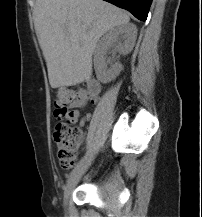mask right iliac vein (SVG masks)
Returning <instances> with one entry per match:
<instances>
[{"label": "right iliac vein", "instance_id": "right-iliac-vein-1", "mask_svg": "<svg viewBox=\"0 0 202 217\" xmlns=\"http://www.w3.org/2000/svg\"><path fill=\"white\" fill-rule=\"evenodd\" d=\"M90 161L88 163H86L81 169H79L74 176L71 178V180L69 181V183L67 184L65 191H64V204L66 205L69 199V196L71 194V192L73 191V189L75 188V186L77 185V183L79 182L81 176L84 174V172L87 170V168L90 165Z\"/></svg>", "mask_w": 202, "mask_h": 217}]
</instances>
